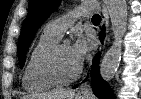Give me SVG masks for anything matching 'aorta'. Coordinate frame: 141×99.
<instances>
[{
    "mask_svg": "<svg viewBox=\"0 0 141 99\" xmlns=\"http://www.w3.org/2000/svg\"><path fill=\"white\" fill-rule=\"evenodd\" d=\"M105 5L110 16L114 41L102 59L100 75L106 82H110L121 61L122 42L127 27L128 10L126 0H105Z\"/></svg>",
    "mask_w": 141,
    "mask_h": 99,
    "instance_id": "obj_1",
    "label": "aorta"
}]
</instances>
